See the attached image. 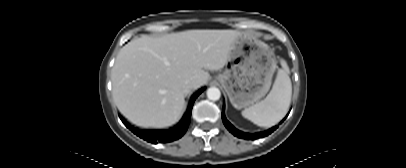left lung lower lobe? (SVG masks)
<instances>
[{
    "label": "left lung lower lobe",
    "instance_id": "left-lung-lower-lobe-1",
    "mask_svg": "<svg viewBox=\"0 0 406 168\" xmlns=\"http://www.w3.org/2000/svg\"><path fill=\"white\" fill-rule=\"evenodd\" d=\"M224 108H225V107L223 106V110H222V120H223V123H224L225 127H226L233 135H235V136L238 137V138H243V139H257V138H263V137H265V136H268L269 134H271L274 130H276V129L278 128V125H276V126L270 128L269 130H266V131H263V132H257V133H254V134L244 133V132H242V131L236 129V128L226 119L225 114H224ZM285 118H286V117H285ZM285 118H284L280 123H282V122L285 120Z\"/></svg>",
    "mask_w": 406,
    "mask_h": 168
}]
</instances>
